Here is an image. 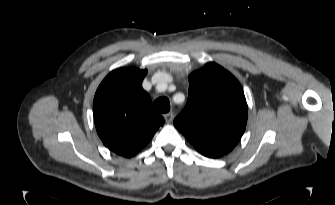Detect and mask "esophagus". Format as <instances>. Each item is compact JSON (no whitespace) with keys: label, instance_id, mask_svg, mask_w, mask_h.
Wrapping results in <instances>:
<instances>
[{"label":"esophagus","instance_id":"obj_1","mask_svg":"<svg viewBox=\"0 0 335 205\" xmlns=\"http://www.w3.org/2000/svg\"><path fill=\"white\" fill-rule=\"evenodd\" d=\"M173 118H174L173 112H169L164 115V119L167 123H171L173 121Z\"/></svg>","mask_w":335,"mask_h":205}]
</instances>
